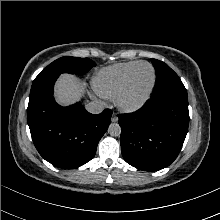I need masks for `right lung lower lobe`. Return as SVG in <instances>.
<instances>
[{
	"label": "right lung lower lobe",
	"instance_id": "1",
	"mask_svg": "<svg viewBox=\"0 0 220 220\" xmlns=\"http://www.w3.org/2000/svg\"><path fill=\"white\" fill-rule=\"evenodd\" d=\"M59 74L34 80L27 109L32 140L40 155L62 169L80 167L90 161L112 116L110 109L89 113L80 103L58 105L53 86Z\"/></svg>",
	"mask_w": 220,
	"mask_h": 220
}]
</instances>
